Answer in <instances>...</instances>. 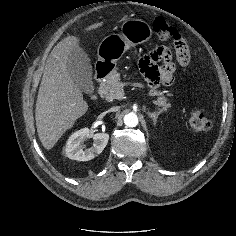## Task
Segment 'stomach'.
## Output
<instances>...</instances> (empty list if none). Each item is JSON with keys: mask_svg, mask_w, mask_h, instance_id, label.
Instances as JSON below:
<instances>
[{"mask_svg": "<svg viewBox=\"0 0 236 236\" xmlns=\"http://www.w3.org/2000/svg\"><path fill=\"white\" fill-rule=\"evenodd\" d=\"M120 29L121 33L106 36L97 51L98 61L112 71L130 47L145 43L152 37L151 26L141 19H127Z\"/></svg>", "mask_w": 236, "mask_h": 236, "instance_id": "stomach-1", "label": "stomach"}]
</instances>
